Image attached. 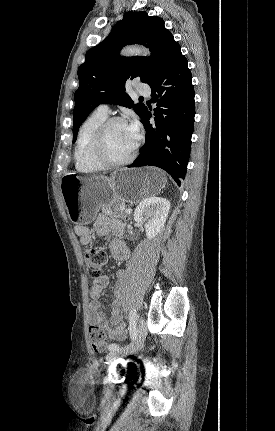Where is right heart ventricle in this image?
<instances>
[{"label":"right heart ventricle","instance_id":"obj_1","mask_svg":"<svg viewBox=\"0 0 275 431\" xmlns=\"http://www.w3.org/2000/svg\"><path fill=\"white\" fill-rule=\"evenodd\" d=\"M106 119V114L96 110L81 124L74 149L75 167L78 171L94 173L103 169L92 157L91 144L96 130Z\"/></svg>","mask_w":275,"mask_h":431}]
</instances>
